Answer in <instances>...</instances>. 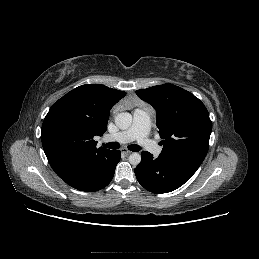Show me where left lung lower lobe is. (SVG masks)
<instances>
[{"mask_svg": "<svg viewBox=\"0 0 259 259\" xmlns=\"http://www.w3.org/2000/svg\"><path fill=\"white\" fill-rule=\"evenodd\" d=\"M142 161L135 169L139 183L152 193H167L176 190L188 181L200 164L181 158L160 154L154 159L147 151L141 154Z\"/></svg>", "mask_w": 259, "mask_h": 259, "instance_id": "0a47b994", "label": "left lung lower lobe"}]
</instances>
